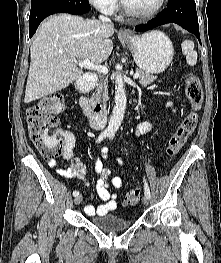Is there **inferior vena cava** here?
<instances>
[{"instance_id": "obj_1", "label": "inferior vena cava", "mask_w": 221, "mask_h": 263, "mask_svg": "<svg viewBox=\"0 0 221 263\" xmlns=\"http://www.w3.org/2000/svg\"><path fill=\"white\" fill-rule=\"evenodd\" d=\"M99 19H100L103 23H107V24L112 25V22H111V20H110L108 17H105V16L100 15V16H99Z\"/></svg>"}]
</instances>
